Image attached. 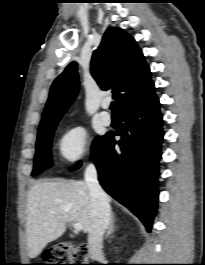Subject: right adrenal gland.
<instances>
[{"label": "right adrenal gland", "mask_w": 205, "mask_h": 265, "mask_svg": "<svg viewBox=\"0 0 205 265\" xmlns=\"http://www.w3.org/2000/svg\"><path fill=\"white\" fill-rule=\"evenodd\" d=\"M114 221H115L114 214H112L111 215L110 225H109L108 230L106 232L105 238H108L115 231Z\"/></svg>", "instance_id": "right-adrenal-gland-1"}]
</instances>
